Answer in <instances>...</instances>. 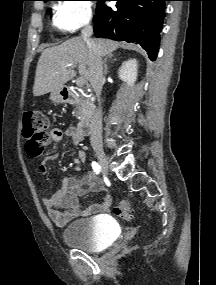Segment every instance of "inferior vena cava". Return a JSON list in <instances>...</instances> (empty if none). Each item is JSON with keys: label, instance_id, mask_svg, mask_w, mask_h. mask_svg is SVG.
I'll return each mask as SVG.
<instances>
[{"label": "inferior vena cava", "instance_id": "602c4592", "mask_svg": "<svg viewBox=\"0 0 216 285\" xmlns=\"http://www.w3.org/2000/svg\"><path fill=\"white\" fill-rule=\"evenodd\" d=\"M92 34H93V28L90 23H87L82 29L81 36L86 41L90 51L89 81L98 98V101H100V96L104 83L103 62H102V57L99 54L96 45L90 39ZM101 139H102V116H101V109H98L92 119L90 142L92 146H95L101 143Z\"/></svg>", "mask_w": 216, "mask_h": 285}]
</instances>
